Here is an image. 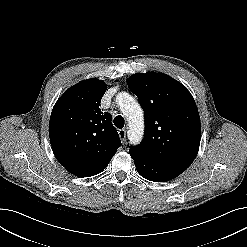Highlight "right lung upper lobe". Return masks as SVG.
Segmentation results:
<instances>
[{
    "label": "right lung upper lobe",
    "instance_id": "right-lung-upper-lobe-1",
    "mask_svg": "<svg viewBox=\"0 0 247 247\" xmlns=\"http://www.w3.org/2000/svg\"><path fill=\"white\" fill-rule=\"evenodd\" d=\"M106 85L84 80L69 88L56 102L49 135L55 157L70 173L109 162L121 141L111 114L99 108Z\"/></svg>",
    "mask_w": 247,
    "mask_h": 247
}]
</instances>
